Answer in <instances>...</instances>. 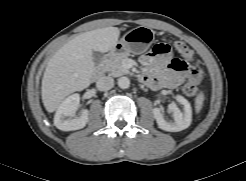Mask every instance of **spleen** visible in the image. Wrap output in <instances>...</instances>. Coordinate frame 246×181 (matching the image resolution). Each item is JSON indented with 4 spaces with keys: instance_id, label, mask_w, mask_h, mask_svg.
Instances as JSON below:
<instances>
[{
    "instance_id": "1",
    "label": "spleen",
    "mask_w": 246,
    "mask_h": 181,
    "mask_svg": "<svg viewBox=\"0 0 246 181\" xmlns=\"http://www.w3.org/2000/svg\"><path fill=\"white\" fill-rule=\"evenodd\" d=\"M204 100H205L204 93L203 92L198 93V95L195 98V110H196V113H199L200 110L202 109Z\"/></svg>"
}]
</instances>
